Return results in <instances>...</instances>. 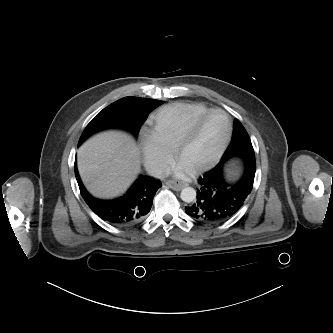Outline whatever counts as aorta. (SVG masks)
<instances>
[{
    "instance_id": "obj_1",
    "label": "aorta",
    "mask_w": 333,
    "mask_h": 333,
    "mask_svg": "<svg viewBox=\"0 0 333 333\" xmlns=\"http://www.w3.org/2000/svg\"><path fill=\"white\" fill-rule=\"evenodd\" d=\"M180 197L184 202L191 203L196 198V191L192 187H186L182 189Z\"/></svg>"
}]
</instances>
